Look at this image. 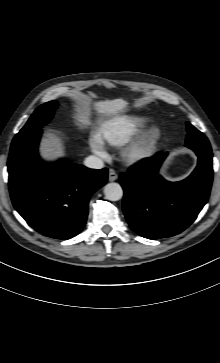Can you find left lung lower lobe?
<instances>
[{
	"mask_svg": "<svg viewBox=\"0 0 220 363\" xmlns=\"http://www.w3.org/2000/svg\"><path fill=\"white\" fill-rule=\"evenodd\" d=\"M198 156L193 173L168 182L158 170L167 153H157L120 175L123 210L132 230L149 239L171 237L185 230L206 204L213 178L210 144L186 143Z\"/></svg>",
	"mask_w": 220,
	"mask_h": 363,
	"instance_id": "left-lung-lower-lobe-1",
	"label": "left lung lower lobe"
}]
</instances>
